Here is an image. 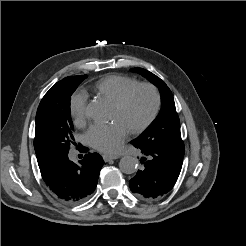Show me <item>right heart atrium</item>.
<instances>
[{
    "label": "right heart atrium",
    "instance_id": "right-heart-atrium-1",
    "mask_svg": "<svg viewBox=\"0 0 246 246\" xmlns=\"http://www.w3.org/2000/svg\"><path fill=\"white\" fill-rule=\"evenodd\" d=\"M87 96L84 91L74 93L69 102L71 117L76 125H82L86 120Z\"/></svg>",
    "mask_w": 246,
    "mask_h": 246
}]
</instances>
